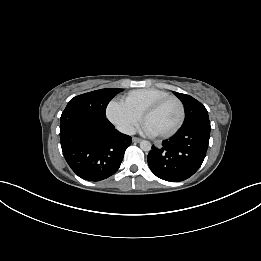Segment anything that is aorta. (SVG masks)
<instances>
[{
	"label": "aorta",
	"instance_id": "obj_1",
	"mask_svg": "<svg viewBox=\"0 0 261 261\" xmlns=\"http://www.w3.org/2000/svg\"><path fill=\"white\" fill-rule=\"evenodd\" d=\"M140 148L143 151H150L151 150V143L149 141L143 140L140 142Z\"/></svg>",
	"mask_w": 261,
	"mask_h": 261
}]
</instances>
